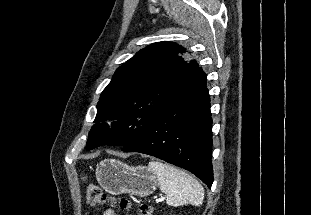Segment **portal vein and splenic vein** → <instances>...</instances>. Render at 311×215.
<instances>
[{"instance_id": "obj_1", "label": "portal vein and splenic vein", "mask_w": 311, "mask_h": 215, "mask_svg": "<svg viewBox=\"0 0 311 215\" xmlns=\"http://www.w3.org/2000/svg\"><path fill=\"white\" fill-rule=\"evenodd\" d=\"M164 199H165V197L158 198V199L156 200V202H157V203H158V202H162Z\"/></svg>"}]
</instances>
